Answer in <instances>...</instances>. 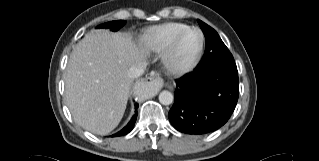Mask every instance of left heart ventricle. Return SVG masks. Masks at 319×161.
<instances>
[{"label": "left heart ventricle", "mask_w": 319, "mask_h": 161, "mask_svg": "<svg viewBox=\"0 0 319 161\" xmlns=\"http://www.w3.org/2000/svg\"><path fill=\"white\" fill-rule=\"evenodd\" d=\"M199 43L200 34L198 31L191 30L185 33L176 47L175 58L177 62L183 64L191 60L198 50Z\"/></svg>", "instance_id": "b2bd125f"}]
</instances>
